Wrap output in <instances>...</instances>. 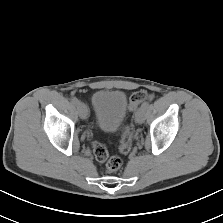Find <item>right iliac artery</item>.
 <instances>
[{
  "instance_id": "obj_1",
  "label": "right iliac artery",
  "mask_w": 223,
  "mask_h": 223,
  "mask_svg": "<svg viewBox=\"0 0 223 223\" xmlns=\"http://www.w3.org/2000/svg\"><path fill=\"white\" fill-rule=\"evenodd\" d=\"M71 102L74 104V105H77L79 100L76 98V97H73L71 98Z\"/></svg>"
}]
</instances>
